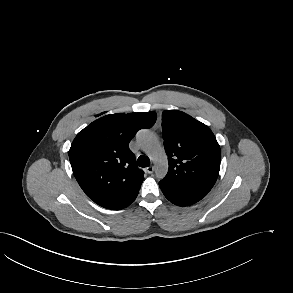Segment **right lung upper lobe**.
Segmentation results:
<instances>
[{
    "instance_id": "obj_1",
    "label": "right lung upper lobe",
    "mask_w": 293,
    "mask_h": 293,
    "mask_svg": "<svg viewBox=\"0 0 293 293\" xmlns=\"http://www.w3.org/2000/svg\"><path fill=\"white\" fill-rule=\"evenodd\" d=\"M156 121L154 111L111 114L78 133L69 150L73 174L85 194L101 207L120 210L136 199L144 173L129 142Z\"/></svg>"
}]
</instances>
